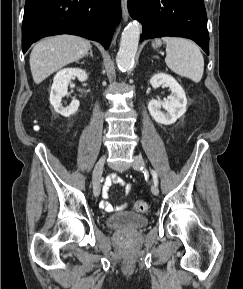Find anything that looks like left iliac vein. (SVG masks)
Returning <instances> with one entry per match:
<instances>
[{
  "label": "left iliac vein",
  "mask_w": 243,
  "mask_h": 289,
  "mask_svg": "<svg viewBox=\"0 0 243 289\" xmlns=\"http://www.w3.org/2000/svg\"><path fill=\"white\" fill-rule=\"evenodd\" d=\"M132 165H133V168L136 170H140L141 168L145 167V163L142 157L140 156L133 157ZM151 192L153 195H156V196L159 194V189L155 183L151 185Z\"/></svg>",
  "instance_id": "obj_1"
}]
</instances>
